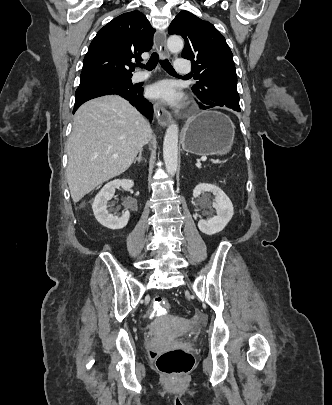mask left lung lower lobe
Here are the masks:
<instances>
[{
    "mask_svg": "<svg viewBox=\"0 0 332 405\" xmlns=\"http://www.w3.org/2000/svg\"><path fill=\"white\" fill-rule=\"evenodd\" d=\"M200 108H201V109H205L204 107H201V106H200Z\"/></svg>",
    "mask_w": 332,
    "mask_h": 405,
    "instance_id": "1",
    "label": "left lung lower lobe"
}]
</instances>
